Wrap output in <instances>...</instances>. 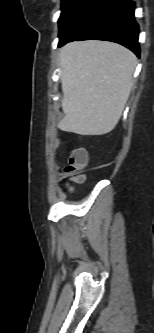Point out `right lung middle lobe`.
I'll return each instance as SVG.
<instances>
[{"instance_id":"dd1d6c3e","label":"right lung middle lobe","mask_w":154,"mask_h":333,"mask_svg":"<svg viewBox=\"0 0 154 333\" xmlns=\"http://www.w3.org/2000/svg\"><path fill=\"white\" fill-rule=\"evenodd\" d=\"M101 0H62L59 18V38L62 40L72 33L96 8Z\"/></svg>"}]
</instances>
